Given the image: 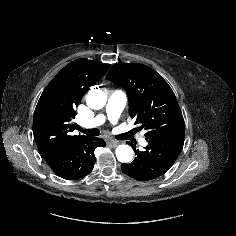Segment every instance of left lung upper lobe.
Here are the masks:
<instances>
[{
  "label": "left lung upper lobe",
  "instance_id": "1",
  "mask_svg": "<svg viewBox=\"0 0 236 236\" xmlns=\"http://www.w3.org/2000/svg\"><path fill=\"white\" fill-rule=\"evenodd\" d=\"M106 79L126 90L129 114L146 130V140L185 132L177 99L155 70L137 63H119L110 69Z\"/></svg>",
  "mask_w": 236,
  "mask_h": 236
}]
</instances>
